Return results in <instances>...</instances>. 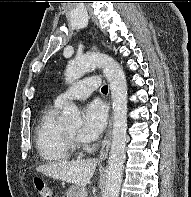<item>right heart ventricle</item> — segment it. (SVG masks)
Masks as SVG:
<instances>
[{
	"instance_id": "1",
	"label": "right heart ventricle",
	"mask_w": 191,
	"mask_h": 197,
	"mask_svg": "<svg viewBox=\"0 0 191 197\" xmlns=\"http://www.w3.org/2000/svg\"><path fill=\"white\" fill-rule=\"evenodd\" d=\"M55 103L40 114L35 129V146L40 158L49 163L63 162L71 158L65 130L57 123L59 110Z\"/></svg>"
}]
</instances>
